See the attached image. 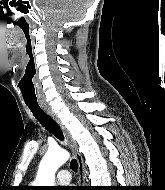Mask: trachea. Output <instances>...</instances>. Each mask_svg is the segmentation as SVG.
Segmentation results:
<instances>
[{"label":"trachea","instance_id":"trachea-1","mask_svg":"<svg viewBox=\"0 0 165 190\" xmlns=\"http://www.w3.org/2000/svg\"><path fill=\"white\" fill-rule=\"evenodd\" d=\"M35 118L45 127L49 132L60 140H63V133L58 124L40 107L38 103H26ZM70 167L74 172H77L78 163L73 159Z\"/></svg>","mask_w":165,"mask_h":190}]
</instances>
